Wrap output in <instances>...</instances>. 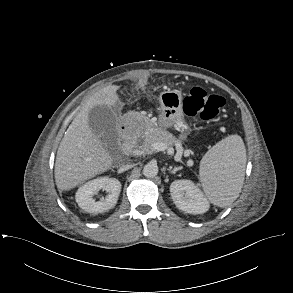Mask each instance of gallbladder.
I'll return each mask as SVG.
<instances>
[{
  "mask_svg": "<svg viewBox=\"0 0 293 293\" xmlns=\"http://www.w3.org/2000/svg\"><path fill=\"white\" fill-rule=\"evenodd\" d=\"M88 120L92 132L101 136L104 141L116 139L117 116L110 107L106 105L94 106L89 112Z\"/></svg>",
  "mask_w": 293,
  "mask_h": 293,
  "instance_id": "gallbladder-1",
  "label": "gallbladder"
}]
</instances>
